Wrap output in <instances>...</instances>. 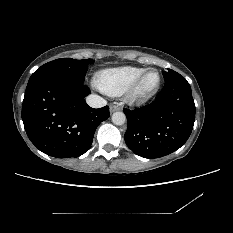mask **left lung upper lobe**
Here are the masks:
<instances>
[{
  "instance_id": "1",
  "label": "left lung upper lobe",
  "mask_w": 233,
  "mask_h": 233,
  "mask_svg": "<svg viewBox=\"0 0 233 233\" xmlns=\"http://www.w3.org/2000/svg\"><path fill=\"white\" fill-rule=\"evenodd\" d=\"M180 74L175 72L174 70L168 69L167 71H163V77L165 82L173 79L176 76H179Z\"/></svg>"
}]
</instances>
